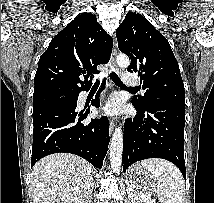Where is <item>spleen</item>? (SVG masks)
<instances>
[{
    "label": "spleen",
    "instance_id": "obj_1",
    "mask_svg": "<svg viewBox=\"0 0 214 203\" xmlns=\"http://www.w3.org/2000/svg\"><path fill=\"white\" fill-rule=\"evenodd\" d=\"M141 164L158 180L157 194L160 203H184V180L173 164L161 159H147Z\"/></svg>",
    "mask_w": 214,
    "mask_h": 203
}]
</instances>
